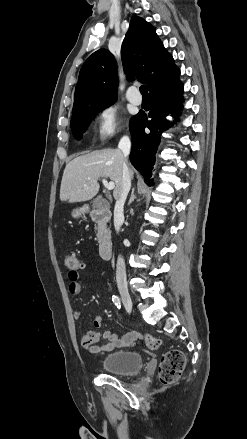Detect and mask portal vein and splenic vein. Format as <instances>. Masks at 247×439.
Returning a JSON list of instances; mask_svg holds the SVG:
<instances>
[{"instance_id": "18ae733b", "label": "portal vein and splenic vein", "mask_w": 247, "mask_h": 439, "mask_svg": "<svg viewBox=\"0 0 247 439\" xmlns=\"http://www.w3.org/2000/svg\"><path fill=\"white\" fill-rule=\"evenodd\" d=\"M102 183L108 190H112L115 187L114 182H108L106 179H102Z\"/></svg>"}]
</instances>
